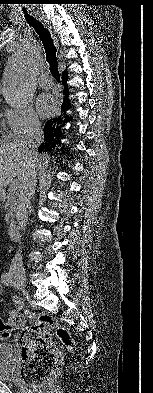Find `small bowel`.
Returning a JSON list of instances; mask_svg holds the SVG:
<instances>
[{
	"label": "small bowel",
	"instance_id": "1",
	"mask_svg": "<svg viewBox=\"0 0 153 393\" xmlns=\"http://www.w3.org/2000/svg\"><path fill=\"white\" fill-rule=\"evenodd\" d=\"M2 294V286L0 285V295ZM13 304L14 308L9 311V315H16L21 309H22V301L19 297H14L13 298ZM9 335L8 332H5V336L7 337ZM5 345V344H3Z\"/></svg>",
	"mask_w": 153,
	"mask_h": 393
}]
</instances>
